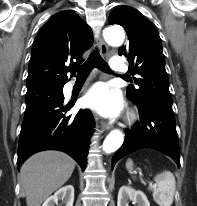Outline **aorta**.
I'll list each match as a JSON object with an SVG mask.
<instances>
[{"label": "aorta", "mask_w": 197, "mask_h": 206, "mask_svg": "<svg viewBox=\"0 0 197 206\" xmlns=\"http://www.w3.org/2000/svg\"><path fill=\"white\" fill-rule=\"evenodd\" d=\"M104 38L109 45L120 46L124 41L125 34L123 29L120 27H109L104 31ZM123 141L124 137L122 132L119 130H113L105 138L103 142V150L106 153H112L120 148Z\"/></svg>", "instance_id": "1"}]
</instances>
